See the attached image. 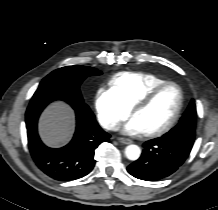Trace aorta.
<instances>
[{
    "mask_svg": "<svg viewBox=\"0 0 218 210\" xmlns=\"http://www.w3.org/2000/svg\"><path fill=\"white\" fill-rule=\"evenodd\" d=\"M141 149L139 146L131 144L125 148V156L132 161L137 160L140 157Z\"/></svg>",
    "mask_w": 218,
    "mask_h": 210,
    "instance_id": "762f6f07",
    "label": "aorta"
}]
</instances>
